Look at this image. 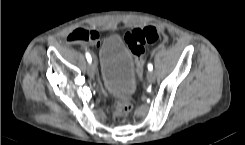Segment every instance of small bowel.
I'll return each instance as SVG.
<instances>
[{"instance_id": "small-bowel-1", "label": "small bowel", "mask_w": 245, "mask_h": 145, "mask_svg": "<svg viewBox=\"0 0 245 145\" xmlns=\"http://www.w3.org/2000/svg\"><path fill=\"white\" fill-rule=\"evenodd\" d=\"M96 32V31H95ZM97 33V32H96ZM98 34V33H97ZM100 39H99V35L97 37V39L92 43L93 45H97L99 43Z\"/></svg>"}]
</instances>
